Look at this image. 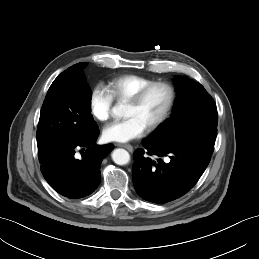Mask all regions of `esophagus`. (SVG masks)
Here are the masks:
<instances>
[{
	"label": "esophagus",
	"mask_w": 259,
	"mask_h": 259,
	"mask_svg": "<svg viewBox=\"0 0 259 259\" xmlns=\"http://www.w3.org/2000/svg\"><path fill=\"white\" fill-rule=\"evenodd\" d=\"M116 146L127 149L129 152H133V147L129 144L117 143Z\"/></svg>",
	"instance_id": "obj_1"
}]
</instances>
